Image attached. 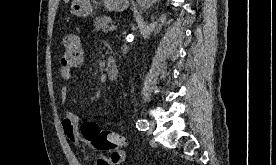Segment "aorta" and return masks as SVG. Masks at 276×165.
Wrapping results in <instances>:
<instances>
[{
	"mask_svg": "<svg viewBox=\"0 0 276 165\" xmlns=\"http://www.w3.org/2000/svg\"><path fill=\"white\" fill-rule=\"evenodd\" d=\"M157 0H137V4L140 10H146L151 7V5Z\"/></svg>",
	"mask_w": 276,
	"mask_h": 165,
	"instance_id": "obj_1",
	"label": "aorta"
}]
</instances>
